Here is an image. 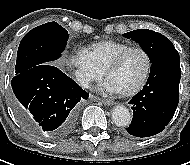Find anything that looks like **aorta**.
Segmentation results:
<instances>
[{"mask_svg":"<svg viewBox=\"0 0 190 165\" xmlns=\"http://www.w3.org/2000/svg\"><path fill=\"white\" fill-rule=\"evenodd\" d=\"M112 120L119 127H125L131 122V114L125 106H116L112 110Z\"/></svg>","mask_w":190,"mask_h":165,"instance_id":"762f6f07","label":"aorta"}]
</instances>
